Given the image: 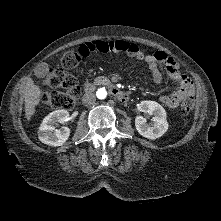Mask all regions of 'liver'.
Segmentation results:
<instances>
[{"instance_id":"6515ba94","label":"liver","mask_w":221,"mask_h":221,"mask_svg":"<svg viewBox=\"0 0 221 221\" xmlns=\"http://www.w3.org/2000/svg\"><path fill=\"white\" fill-rule=\"evenodd\" d=\"M42 91L31 78H28L24 89L25 115L27 120L35 113V107L39 104Z\"/></svg>"}]
</instances>
